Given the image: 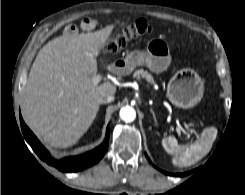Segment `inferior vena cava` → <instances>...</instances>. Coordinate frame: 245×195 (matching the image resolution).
I'll return each instance as SVG.
<instances>
[{"label": "inferior vena cava", "mask_w": 245, "mask_h": 195, "mask_svg": "<svg viewBox=\"0 0 245 195\" xmlns=\"http://www.w3.org/2000/svg\"><path fill=\"white\" fill-rule=\"evenodd\" d=\"M114 100V96L110 94H102L98 97L97 101L99 104H106L110 103Z\"/></svg>", "instance_id": "1"}]
</instances>
